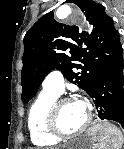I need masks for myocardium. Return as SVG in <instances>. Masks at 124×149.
Instances as JSON below:
<instances>
[{
  "instance_id": "1",
  "label": "myocardium",
  "mask_w": 124,
  "mask_h": 149,
  "mask_svg": "<svg viewBox=\"0 0 124 149\" xmlns=\"http://www.w3.org/2000/svg\"><path fill=\"white\" fill-rule=\"evenodd\" d=\"M73 101L70 97L56 99L50 106L47 113V129L49 133L60 140L71 139L84 133L91 125L93 112L91 106H87L88 114L84 124L73 132H65L59 126V109L65 103Z\"/></svg>"
}]
</instances>
